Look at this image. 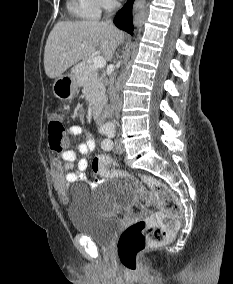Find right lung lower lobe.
<instances>
[{
  "label": "right lung lower lobe",
  "mask_w": 233,
  "mask_h": 284,
  "mask_svg": "<svg viewBox=\"0 0 233 284\" xmlns=\"http://www.w3.org/2000/svg\"><path fill=\"white\" fill-rule=\"evenodd\" d=\"M134 0H128L124 7L117 13L114 18L115 25L133 35V19H132V6Z\"/></svg>",
  "instance_id": "right-lung-lower-lobe-1"
}]
</instances>
